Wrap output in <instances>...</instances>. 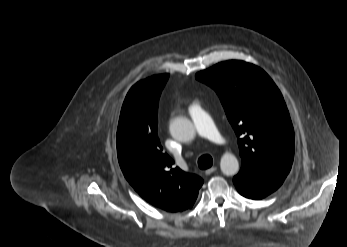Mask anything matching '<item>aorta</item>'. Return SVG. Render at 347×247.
Wrapping results in <instances>:
<instances>
[{
    "label": "aorta",
    "mask_w": 347,
    "mask_h": 247,
    "mask_svg": "<svg viewBox=\"0 0 347 247\" xmlns=\"http://www.w3.org/2000/svg\"><path fill=\"white\" fill-rule=\"evenodd\" d=\"M170 133L173 138L182 142H188L195 137L193 123L184 117H177L170 123ZM220 168L224 175L233 176L239 170V162L232 153H224L221 157Z\"/></svg>",
    "instance_id": "1"
}]
</instances>
